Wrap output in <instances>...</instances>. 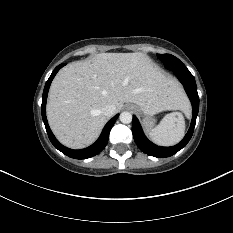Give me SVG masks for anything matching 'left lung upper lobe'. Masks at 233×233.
<instances>
[{"label":"left lung upper lobe","mask_w":233,"mask_h":233,"mask_svg":"<svg viewBox=\"0 0 233 233\" xmlns=\"http://www.w3.org/2000/svg\"><path fill=\"white\" fill-rule=\"evenodd\" d=\"M157 56L162 60L168 70L173 71L174 69H187L178 58L171 54H157Z\"/></svg>","instance_id":"obj_1"}]
</instances>
